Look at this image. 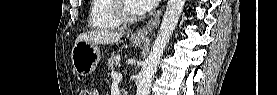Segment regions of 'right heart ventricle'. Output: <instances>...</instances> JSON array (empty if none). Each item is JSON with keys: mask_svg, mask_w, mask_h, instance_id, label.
I'll use <instances>...</instances> for the list:
<instances>
[{"mask_svg": "<svg viewBox=\"0 0 277 95\" xmlns=\"http://www.w3.org/2000/svg\"><path fill=\"white\" fill-rule=\"evenodd\" d=\"M114 0H92L89 13V26L92 29L111 30L122 22L112 11Z\"/></svg>", "mask_w": 277, "mask_h": 95, "instance_id": "right-heart-ventricle-1", "label": "right heart ventricle"}]
</instances>
